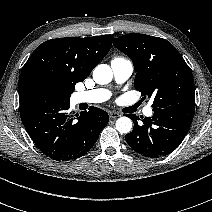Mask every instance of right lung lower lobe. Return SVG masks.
<instances>
[{
	"mask_svg": "<svg viewBox=\"0 0 212 212\" xmlns=\"http://www.w3.org/2000/svg\"><path fill=\"white\" fill-rule=\"evenodd\" d=\"M70 103L55 101L24 102L19 106L22 123L38 149L55 161L84 156L96 143L109 121L99 108L73 115Z\"/></svg>",
	"mask_w": 212,
	"mask_h": 212,
	"instance_id": "98d812e1",
	"label": "right lung lower lobe"
}]
</instances>
